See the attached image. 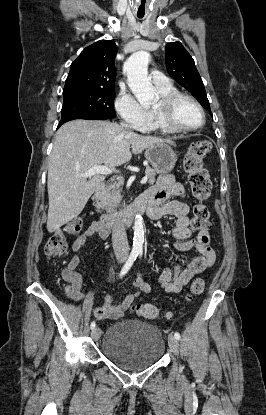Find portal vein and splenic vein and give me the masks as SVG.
I'll use <instances>...</instances> for the list:
<instances>
[{"label": "portal vein and splenic vein", "mask_w": 266, "mask_h": 415, "mask_svg": "<svg viewBox=\"0 0 266 415\" xmlns=\"http://www.w3.org/2000/svg\"><path fill=\"white\" fill-rule=\"evenodd\" d=\"M113 172H119L115 169L106 167L104 165H96L93 166L92 168H90L88 171L84 172V173H78L77 176L78 177H83V178H91L94 175L100 174V175H108L111 174ZM148 180L147 176H144L141 180V184L146 183Z\"/></svg>", "instance_id": "18ae733b"}]
</instances>
